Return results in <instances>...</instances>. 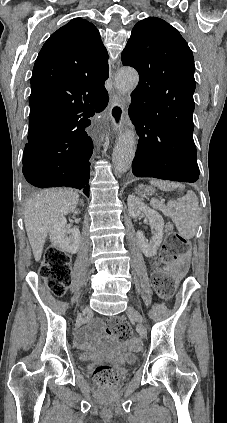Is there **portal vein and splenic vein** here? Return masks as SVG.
Wrapping results in <instances>:
<instances>
[{
    "mask_svg": "<svg viewBox=\"0 0 227 423\" xmlns=\"http://www.w3.org/2000/svg\"><path fill=\"white\" fill-rule=\"evenodd\" d=\"M160 203H161V204H165V203H166V200H165V199H161V200H160Z\"/></svg>",
    "mask_w": 227,
    "mask_h": 423,
    "instance_id": "1",
    "label": "portal vein and splenic vein"
}]
</instances>
